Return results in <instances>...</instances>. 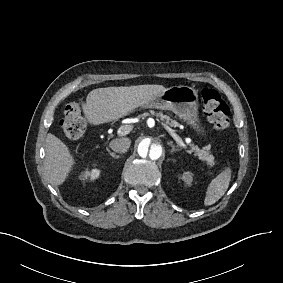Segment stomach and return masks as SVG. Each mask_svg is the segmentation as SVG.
Wrapping results in <instances>:
<instances>
[{
	"label": "stomach",
	"instance_id": "1",
	"mask_svg": "<svg viewBox=\"0 0 283 283\" xmlns=\"http://www.w3.org/2000/svg\"><path fill=\"white\" fill-rule=\"evenodd\" d=\"M199 106V90L189 85H178L166 88L161 96L144 107L173 111L203 139L207 137L208 131L201 123Z\"/></svg>",
	"mask_w": 283,
	"mask_h": 283
}]
</instances>
